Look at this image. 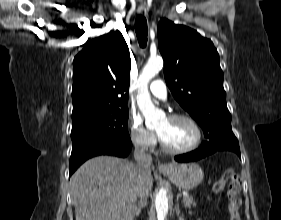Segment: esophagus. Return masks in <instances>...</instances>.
<instances>
[{
  "label": "esophagus",
  "instance_id": "esophagus-1",
  "mask_svg": "<svg viewBox=\"0 0 281 220\" xmlns=\"http://www.w3.org/2000/svg\"><path fill=\"white\" fill-rule=\"evenodd\" d=\"M137 11H138V13H139L141 16L146 15V12H147V10H146V8H145L144 6L138 7ZM171 167H172V166H171V164H169V163H162V164H159V165H158V170H159L160 172H167V171H169V170L171 169Z\"/></svg>",
  "mask_w": 281,
  "mask_h": 220
}]
</instances>
